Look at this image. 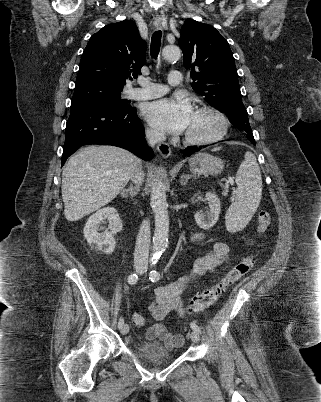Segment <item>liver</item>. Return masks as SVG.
Listing matches in <instances>:
<instances>
[{
  "label": "liver",
  "mask_w": 321,
  "mask_h": 402,
  "mask_svg": "<svg viewBox=\"0 0 321 402\" xmlns=\"http://www.w3.org/2000/svg\"><path fill=\"white\" fill-rule=\"evenodd\" d=\"M140 159L115 146H87L73 155L62 173L64 215L68 221L110 203L126 186Z\"/></svg>",
  "instance_id": "1"
}]
</instances>
